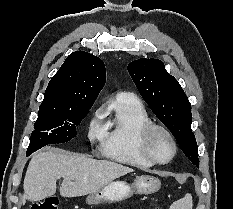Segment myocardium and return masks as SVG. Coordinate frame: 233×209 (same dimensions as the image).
Masks as SVG:
<instances>
[{"label":"myocardium","mask_w":233,"mask_h":209,"mask_svg":"<svg viewBox=\"0 0 233 209\" xmlns=\"http://www.w3.org/2000/svg\"><path fill=\"white\" fill-rule=\"evenodd\" d=\"M156 132H162L163 134H165L169 138L172 145V154L165 161L157 159L150 149L151 139ZM139 146L143 156L149 161H151L153 164L158 165H165L170 163L177 153V143L173 133L167 127L152 122L141 129L139 137Z\"/></svg>","instance_id":"myocardium-1"}]
</instances>
